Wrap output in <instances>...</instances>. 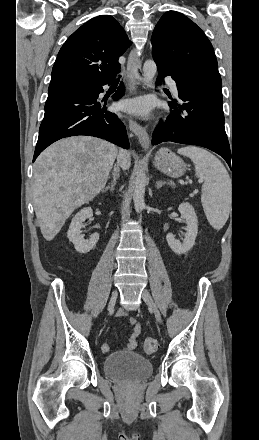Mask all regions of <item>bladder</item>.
<instances>
[{
    "label": "bladder",
    "mask_w": 259,
    "mask_h": 440,
    "mask_svg": "<svg viewBox=\"0 0 259 440\" xmlns=\"http://www.w3.org/2000/svg\"><path fill=\"white\" fill-rule=\"evenodd\" d=\"M107 377L125 382H139L151 376L153 365L143 355L133 351H118L107 355L103 361Z\"/></svg>",
    "instance_id": "31cf9c89"
}]
</instances>
